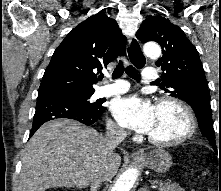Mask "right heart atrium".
I'll use <instances>...</instances> for the list:
<instances>
[{
	"label": "right heart atrium",
	"mask_w": 221,
	"mask_h": 191,
	"mask_svg": "<svg viewBox=\"0 0 221 191\" xmlns=\"http://www.w3.org/2000/svg\"><path fill=\"white\" fill-rule=\"evenodd\" d=\"M107 126H108L109 132L114 135L123 137L126 134L125 130L118 123L114 121H109Z\"/></svg>",
	"instance_id": "right-heart-atrium-1"
}]
</instances>
